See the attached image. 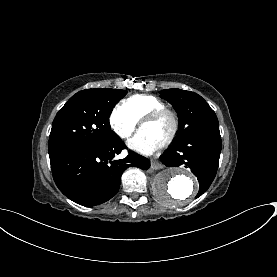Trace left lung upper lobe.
Here are the masks:
<instances>
[{
    "instance_id": "5c2ea615",
    "label": "left lung upper lobe",
    "mask_w": 277,
    "mask_h": 277,
    "mask_svg": "<svg viewBox=\"0 0 277 277\" xmlns=\"http://www.w3.org/2000/svg\"><path fill=\"white\" fill-rule=\"evenodd\" d=\"M160 93V97L169 101L178 113L179 130L174 143L203 133L219 132L215 112L197 93L181 89H167Z\"/></svg>"
}]
</instances>
